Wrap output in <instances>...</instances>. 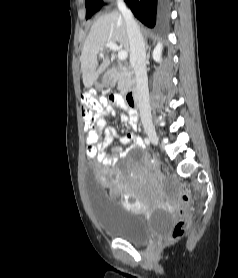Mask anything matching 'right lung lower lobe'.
Listing matches in <instances>:
<instances>
[{
  "label": "right lung lower lobe",
  "mask_w": 238,
  "mask_h": 278,
  "mask_svg": "<svg viewBox=\"0 0 238 278\" xmlns=\"http://www.w3.org/2000/svg\"><path fill=\"white\" fill-rule=\"evenodd\" d=\"M137 19L153 28L156 22L157 7L161 11L166 0H124Z\"/></svg>",
  "instance_id": "98d812e1"
}]
</instances>
